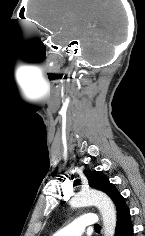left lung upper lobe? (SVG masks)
Listing matches in <instances>:
<instances>
[{
	"instance_id": "1",
	"label": "left lung upper lobe",
	"mask_w": 145,
	"mask_h": 236,
	"mask_svg": "<svg viewBox=\"0 0 145 236\" xmlns=\"http://www.w3.org/2000/svg\"><path fill=\"white\" fill-rule=\"evenodd\" d=\"M89 185L92 188L105 192L114 202L117 213L127 208L124 197L118 192L114 184L109 182V179L101 172L98 171H84ZM78 180L74 182V185H78Z\"/></svg>"
}]
</instances>
